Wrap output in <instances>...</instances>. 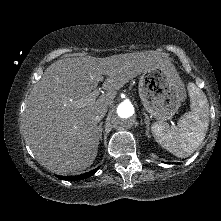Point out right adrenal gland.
I'll use <instances>...</instances> for the list:
<instances>
[{
    "label": "right adrenal gland",
    "instance_id": "1",
    "mask_svg": "<svg viewBox=\"0 0 221 221\" xmlns=\"http://www.w3.org/2000/svg\"><path fill=\"white\" fill-rule=\"evenodd\" d=\"M102 125H103V122H100L99 125H98L100 140H102V132H103Z\"/></svg>",
    "mask_w": 221,
    "mask_h": 221
}]
</instances>
